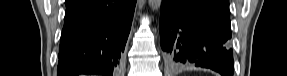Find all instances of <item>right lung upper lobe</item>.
Returning <instances> with one entry per match:
<instances>
[{"instance_id":"1","label":"right lung upper lobe","mask_w":287,"mask_h":76,"mask_svg":"<svg viewBox=\"0 0 287 76\" xmlns=\"http://www.w3.org/2000/svg\"><path fill=\"white\" fill-rule=\"evenodd\" d=\"M73 0H66V4L71 3Z\"/></svg>"}]
</instances>
